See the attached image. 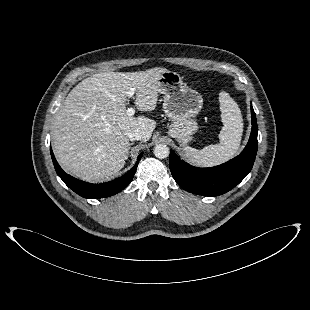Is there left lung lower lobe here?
Wrapping results in <instances>:
<instances>
[{"mask_svg": "<svg viewBox=\"0 0 310 310\" xmlns=\"http://www.w3.org/2000/svg\"><path fill=\"white\" fill-rule=\"evenodd\" d=\"M252 130L240 155L219 166L193 167L170 150L169 166L175 181L186 191L203 196L222 195L238 185L251 171L257 153L256 115L251 106Z\"/></svg>", "mask_w": 310, "mask_h": 310, "instance_id": "0a47b994", "label": "left lung lower lobe"}]
</instances>
